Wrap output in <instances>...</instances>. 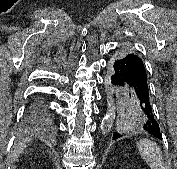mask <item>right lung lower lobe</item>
<instances>
[{
    "mask_svg": "<svg viewBox=\"0 0 177 169\" xmlns=\"http://www.w3.org/2000/svg\"><path fill=\"white\" fill-rule=\"evenodd\" d=\"M30 115L32 118L35 119H40L47 116V111L41 100H37L33 103V105L30 108Z\"/></svg>",
    "mask_w": 177,
    "mask_h": 169,
    "instance_id": "obj_1",
    "label": "right lung lower lobe"
}]
</instances>
